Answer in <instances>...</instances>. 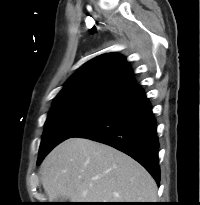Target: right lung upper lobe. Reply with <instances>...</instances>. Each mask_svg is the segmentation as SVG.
Returning <instances> with one entry per match:
<instances>
[{"instance_id": "1", "label": "right lung upper lobe", "mask_w": 200, "mask_h": 205, "mask_svg": "<svg viewBox=\"0 0 200 205\" xmlns=\"http://www.w3.org/2000/svg\"><path fill=\"white\" fill-rule=\"evenodd\" d=\"M136 86L126 59L109 53L85 63L65 84L53 104L77 98L117 100Z\"/></svg>"}]
</instances>
